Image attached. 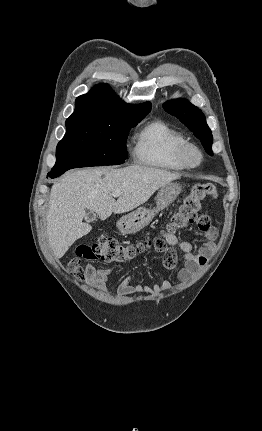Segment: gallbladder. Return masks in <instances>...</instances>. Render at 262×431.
Wrapping results in <instances>:
<instances>
[{
	"mask_svg": "<svg viewBox=\"0 0 262 431\" xmlns=\"http://www.w3.org/2000/svg\"><path fill=\"white\" fill-rule=\"evenodd\" d=\"M95 219H96V214H95V213H93V212H88V213L85 215V220H86V222H88V223L93 222Z\"/></svg>",
	"mask_w": 262,
	"mask_h": 431,
	"instance_id": "gallbladder-1",
	"label": "gallbladder"
}]
</instances>
